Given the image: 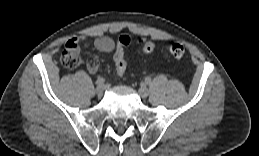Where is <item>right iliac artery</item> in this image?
I'll return each mask as SVG.
<instances>
[{
  "instance_id": "1",
  "label": "right iliac artery",
  "mask_w": 259,
  "mask_h": 156,
  "mask_svg": "<svg viewBox=\"0 0 259 156\" xmlns=\"http://www.w3.org/2000/svg\"><path fill=\"white\" fill-rule=\"evenodd\" d=\"M104 82H105V79L102 78V77H99V78L96 80L95 84L99 86V85H103Z\"/></svg>"
}]
</instances>
